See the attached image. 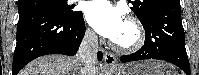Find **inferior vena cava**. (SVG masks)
I'll return each mask as SVG.
<instances>
[{
    "label": "inferior vena cava",
    "instance_id": "1",
    "mask_svg": "<svg viewBox=\"0 0 199 75\" xmlns=\"http://www.w3.org/2000/svg\"><path fill=\"white\" fill-rule=\"evenodd\" d=\"M98 38L92 31H87L80 45L77 59L83 64L82 75H95L97 64Z\"/></svg>",
    "mask_w": 199,
    "mask_h": 75
}]
</instances>
